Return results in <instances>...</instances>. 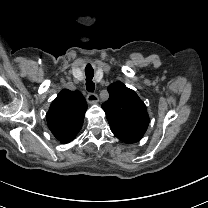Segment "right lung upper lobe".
Wrapping results in <instances>:
<instances>
[{
  "label": "right lung upper lobe",
  "instance_id": "cb5924a9",
  "mask_svg": "<svg viewBox=\"0 0 208 208\" xmlns=\"http://www.w3.org/2000/svg\"><path fill=\"white\" fill-rule=\"evenodd\" d=\"M87 103L79 91L63 89L46 114L48 127L63 144L74 139L82 128Z\"/></svg>",
  "mask_w": 208,
  "mask_h": 208
}]
</instances>
